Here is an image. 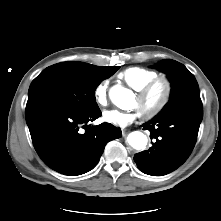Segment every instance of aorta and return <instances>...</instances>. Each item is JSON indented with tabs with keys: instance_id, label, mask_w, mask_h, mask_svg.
<instances>
[{
	"instance_id": "1",
	"label": "aorta",
	"mask_w": 221,
	"mask_h": 221,
	"mask_svg": "<svg viewBox=\"0 0 221 221\" xmlns=\"http://www.w3.org/2000/svg\"><path fill=\"white\" fill-rule=\"evenodd\" d=\"M131 95V90L120 85L112 87L109 92L111 101L120 109H126L128 99ZM127 141L136 150L145 148L148 142L147 136L140 131L131 132L127 137Z\"/></svg>"
}]
</instances>
